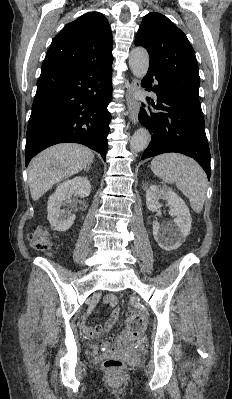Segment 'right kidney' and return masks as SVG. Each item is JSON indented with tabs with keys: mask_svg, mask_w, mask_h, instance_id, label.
Segmentation results:
<instances>
[{
	"mask_svg": "<svg viewBox=\"0 0 232 399\" xmlns=\"http://www.w3.org/2000/svg\"><path fill=\"white\" fill-rule=\"evenodd\" d=\"M90 192L91 184L87 178H73V180H66L63 184H59L47 203V217L52 229H56V231L69 229L76 215L74 213L67 215L64 209H60L61 205L71 201L74 194H78L79 198H87Z\"/></svg>",
	"mask_w": 232,
	"mask_h": 399,
	"instance_id": "ca27d5eb",
	"label": "right kidney"
}]
</instances>
